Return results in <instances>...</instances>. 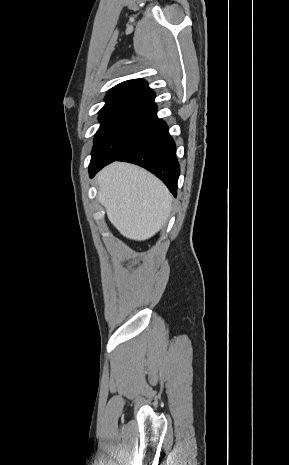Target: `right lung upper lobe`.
Returning <instances> with one entry per match:
<instances>
[{
	"instance_id": "cb5924a9",
	"label": "right lung upper lobe",
	"mask_w": 289,
	"mask_h": 465,
	"mask_svg": "<svg viewBox=\"0 0 289 465\" xmlns=\"http://www.w3.org/2000/svg\"><path fill=\"white\" fill-rule=\"evenodd\" d=\"M154 99L155 93L149 88L146 81L142 79L128 80L116 85L107 93L106 103L100 111L123 104L154 105Z\"/></svg>"
}]
</instances>
